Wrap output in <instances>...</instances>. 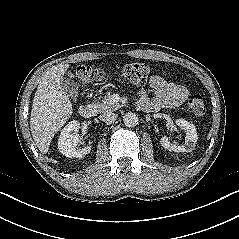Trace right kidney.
<instances>
[{
    "instance_id": "obj_1",
    "label": "right kidney",
    "mask_w": 239,
    "mask_h": 239,
    "mask_svg": "<svg viewBox=\"0 0 239 239\" xmlns=\"http://www.w3.org/2000/svg\"><path fill=\"white\" fill-rule=\"evenodd\" d=\"M79 128L80 123L77 120H73L64 127L60 134L58 139V149L66 157L81 158L91 151V146L82 149L77 147L79 141Z\"/></svg>"
}]
</instances>
